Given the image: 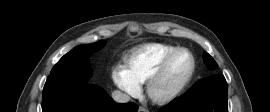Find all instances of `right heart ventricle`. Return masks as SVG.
I'll list each match as a JSON object with an SVG mask.
<instances>
[{"mask_svg": "<svg viewBox=\"0 0 270 112\" xmlns=\"http://www.w3.org/2000/svg\"><path fill=\"white\" fill-rule=\"evenodd\" d=\"M175 48L176 46L163 43L140 45L124 58L125 68L137 84H144L162 59Z\"/></svg>", "mask_w": 270, "mask_h": 112, "instance_id": "right-heart-ventricle-1", "label": "right heart ventricle"}]
</instances>
